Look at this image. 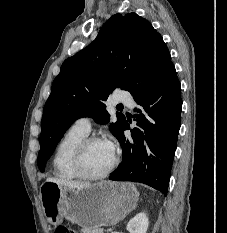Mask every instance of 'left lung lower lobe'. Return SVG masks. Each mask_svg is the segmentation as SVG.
Instances as JSON below:
<instances>
[{"label": "left lung lower lobe", "instance_id": "0a47b994", "mask_svg": "<svg viewBox=\"0 0 227 233\" xmlns=\"http://www.w3.org/2000/svg\"><path fill=\"white\" fill-rule=\"evenodd\" d=\"M134 99L139 105L134 115L138 128L131 129L132 138H126L123 133L129 129L126 121L117 138L123 161L109 179L144 183L166 195L182 110L181 85L174 65Z\"/></svg>", "mask_w": 227, "mask_h": 233}]
</instances>
